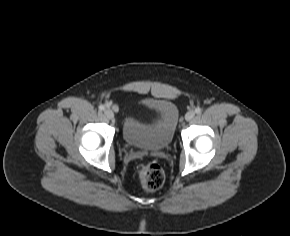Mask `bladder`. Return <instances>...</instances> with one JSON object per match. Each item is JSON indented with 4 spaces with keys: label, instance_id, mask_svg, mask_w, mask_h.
Segmentation results:
<instances>
[{
    "label": "bladder",
    "instance_id": "bladder-1",
    "mask_svg": "<svg viewBox=\"0 0 290 236\" xmlns=\"http://www.w3.org/2000/svg\"><path fill=\"white\" fill-rule=\"evenodd\" d=\"M156 114L151 121H141L129 113L122 125V139L130 147L162 151L169 147L174 138L178 110L168 101L154 103Z\"/></svg>",
    "mask_w": 290,
    "mask_h": 236
}]
</instances>
